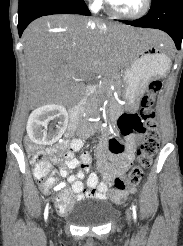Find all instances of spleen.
I'll return each instance as SVG.
<instances>
[{
	"instance_id": "obj_1",
	"label": "spleen",
	"mask_w": 183,
	"mask_h": 246,
	"mask_svg": "<svg viewBox=\"0 0 183 246\" xmlns=\"http://www.w3.org/2000/svg\"><path fill=\"white\" fill-rule=\"evenodd\" d=\"M146 63V60L144 58H140L134 65V70L139 69L140 67H143Z\"/></svg>"
}]
</instances>
